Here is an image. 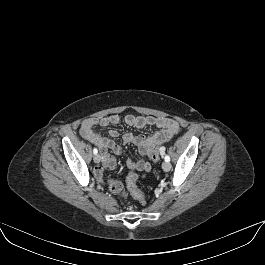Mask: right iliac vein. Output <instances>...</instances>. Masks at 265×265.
I'll list each match as a JSON object with an SVG mask.
<instances>
[{
    "label": "right iliac vein",
    "instance_id": "right-iliac-vein-1",
    "mask_svg": "<svg viewBox=\"0 0 265 265\" xmlns=\"http://www.w3.org/2000/svg\"><path fill=\"white\" fill-rule=\"evenodd\" d=\"M100 160H101V156H100L99 154H96V155L94 156V162H95V163H99Z\"/></svg>",
    "mask_w": 265,
    "mask_h": 265
}]
</instances>
